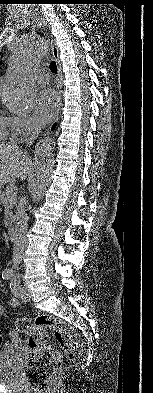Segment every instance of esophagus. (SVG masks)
Here are the masks:
<instances>
[{
  "instance_id": "esophagus-1",
  "label": "esophagus",
  "mask_w": 153,
  "mask_h": 393,
  "mask_svg": "<svg viewBox=\"0 0 153 393\" xmlns=\"http://www.w3.org/2000/svg\"><path fill=\"white\" fill-rule=\"evenodd\" d=\"M51 54L57 65V80L59 86L62 87V71H61V63L59 59V50L53 40H51Z\"/></svg>"
}]
</instances>
